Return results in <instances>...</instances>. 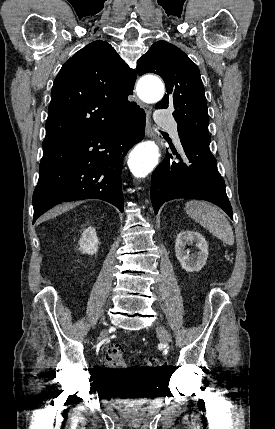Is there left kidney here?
Returning <instances> with one entry per match:
<instances>
[{"mask_svg": "<svg viewBox=\"0 0 275 429\" xmlns=\"http://www.w3.org/2000/svg\"><path fill=\"white\" fill-rule=\"evenodd\" d=\"M196 243L198 252L190 254L186 250V245ZM175 254L182 268L187 272H198L206 264L208 257V243L205 238L198 232L189 230L181 231L176 238Z\"/></svg>", "mask_w": 275, "mask_h": 429, "instance_id": "left-kidney-1", "label": "left kidney"}]
</instances>
